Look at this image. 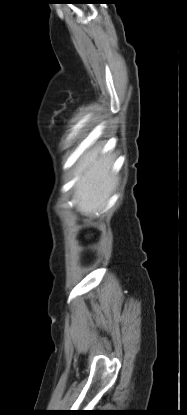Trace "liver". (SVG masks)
<instances>
[{"label": "liver", "instance_id": "obj_1", "mask_svg": "<svg viewBox=\"0 0 187 415\" xmlns=\"http://www.w3.org/2000/svg\"><path fill=\"white\" fill-rule=\"evenodd\" d=\"M113 164L112 156L104 154L100 147L89 150L80 159L74 199L82 215L94 214L109 199L117 183Z\"/></svg>", "mask_w": 187, "mask_h": 415}]
</instances>
